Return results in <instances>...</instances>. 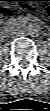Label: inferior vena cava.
I'll return each instance as SVG.
<instances>
[{
    "mask_svg": "<svg viewBox=\"0 0 50 111\" xmlns=\"http://www.w3.org/2000/svg\"><path fill=\"white\" fill-rule=\"evenodd\" d=\"M12 35L19 37V36L24 35V31H23V30H17V31H14V32L12 33Z\"/></svg>",
    "mask_w": 50,
    "mask_h": 111,
    "instance_id": "obj_1",
    "label": "inferior vena cava"
}]
</instances>
